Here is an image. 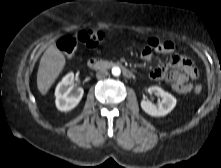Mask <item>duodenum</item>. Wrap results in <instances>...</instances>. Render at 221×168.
Listing matches in <instances>:
<instances>
[{"instance_id":"410a0bca","label":"duodenum","mask_w":221,"mask_h":168,"mask_svg":"<svg viewBox=\"0 0 221 168\" xmlns=\"http://www.w3.org/2000/svg\"><path fill=\"white\" fill-rule=\"evenodd\" d=\"M87 65L90 69L93 70H101L110 67H119L121 68L122 73L126 78H132L134 76L133 72L129 68H127L119 62H107L94 57L88 60Z\"/></svg>"}]
</instances>
